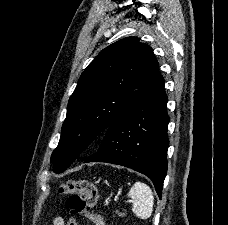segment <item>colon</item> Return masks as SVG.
<instances>
[{
    "mask_svg": "<svg viewBox=\"0 0 228 225\" xmlns=\"http://www.w3.org/2000/svg\"><path fill=\"white\" fill-rule=\"evenodd\" d=\"M59 194L67 196L70 214L82 216L92 225H105L103 218L94 211L98 197L96 185L86 179H73L60 183Z\"/></svg>",
    "mask_w": 228,
    "mask_h": 225,
    "instance_id": "5ec220e1",
    "label": "colon"
}]
</instances>
